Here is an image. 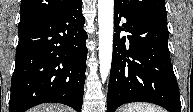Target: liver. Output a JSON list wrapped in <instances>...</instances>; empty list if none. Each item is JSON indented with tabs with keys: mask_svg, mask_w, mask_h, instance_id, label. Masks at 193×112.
I'll use <instances>...</instances> for the list:
<instances>
[{
	"mask_svg": "<svg viewBox=\"0 0 193 112\" xmlns=\"http://www.w3.org/2000/svg\"><path fill=\"white\" fill-rule=\"evenodd\" d=\"M29 112H71V109L63 105L49 104L30 109Z\"/></svg>",
	"mask_w": 193,
	"mask_h": 112,
	"instance_id": "6515ba94",
	"label": "liver"
}]
</instances>
